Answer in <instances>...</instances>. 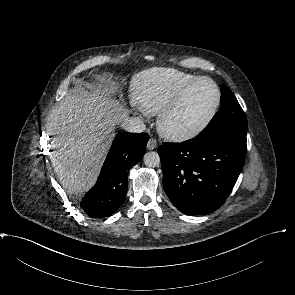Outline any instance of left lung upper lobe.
I'll return each mask as SVG.
<instances>
[{
	"mask_svg": "<svg viewBox=\"0 0 295 295\" xmlns=\"http://www.w3.org/2000/svg\"><path fill=\"white\" fill-rule=\"evenodd\" d=\"M219 112L215 114L207 127L198 135L226 134L246 141L247 119L244 111L231 90L223 84L221 87Z\"/></svg>",
	"mask_w": 295,
	"mask_h": 295,
	"instance_id": "5c2ea615",
	"label": "left lung upper lobe"
}]
</instances>
